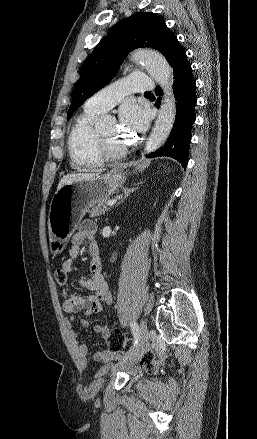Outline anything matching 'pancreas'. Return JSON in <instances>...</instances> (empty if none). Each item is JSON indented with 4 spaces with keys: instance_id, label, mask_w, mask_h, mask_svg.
I'll return each instance as SVG.
<instances>
[{
    "instance_id": "cf45deb5",
    "label": "pancreas",
    "mask_w": 257,
    "mask_h": 439,
    "mask_svg": "<svg viewBox=\"0 0 257 439\" xmlns=\"http://www.w3.org/2000/svg\"><path fill=\"white\" fill-rule=\"evenodd\" d=\"M108 201V198H100L94 201L85 209V213H89L91 217L105 214V212L109 210V208L105 205Z\"/></svg>"
}]
</instances>
